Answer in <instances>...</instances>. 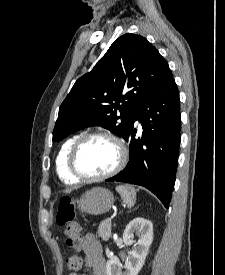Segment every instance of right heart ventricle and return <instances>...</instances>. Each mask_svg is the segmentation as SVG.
<instances>
[{
    "label": "right heart ventricle",
    "instance_id": "1",
    "mask_svg": "<svg viewBox=\"0 0 225 275\" xmlns=\"http://www.w3.org/2000/svg\"><path fill=\"white\" fill-rule=\"evenodd\" d=\"M80 137V135H74L68 138L60 147V150L56 157V172L58 177L64 183H76L79 180L75 179L68 169V155L74 142Z\"/></svg>",
    "mask_w": 225,
    "mask_h": 275
}]
</instances>
